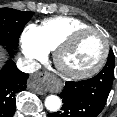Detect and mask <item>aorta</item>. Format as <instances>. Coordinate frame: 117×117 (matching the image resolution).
<instances>
[{
	"label": "aorta",
	"instance_id": "762f6f07",
	"mask_svg": "<svg viewBox=\"0 0 117 117\" xmlns=\"http://www.w3.org/2000/svg\"><path fill=\"white\" fill-rule=\"evenodd\" d=\"M45 107L51 112H56L61 107V99L56 95L47 96L45 99Z\"/></svg>",
	"mask_w": 117,
	"mask_h": 117
}]
</instances>
